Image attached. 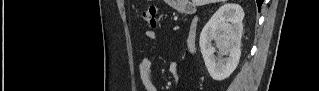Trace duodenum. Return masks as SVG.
<instances>
[{
  "mask_svg": "<svg viewBox=\"0 0 319 91\" xmlns=\"http://www.w3.org/2000/svg\"><path fill=\"white\" fill-rule=\"evenodd\" d=\"M184 11L187 14L194 15L195 14V9L192 5H188ZM197 34H198V19L196 16H194L187 35V40H186V45L187 49L190 52H194L195 47H196V41H197Z\"/></svg>",
  "mask_w": 319,
  "mask_h": 91,
  "instance_id": "1",
  "label": "duodenum"
}]
</instances>
